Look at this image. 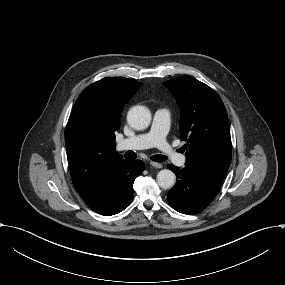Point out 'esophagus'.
Wrapping results in <instances>:
<instances>
[{
	"label": "esophagus",
	"mask_w": 285,
	"mask_h": 285,
	"mask_svg": "<svg viewBox=\"0 0 285 285\" xmlns=\"http://www.w3.org/2000/svg\"><path fill=\"white\" fill-rule=\"evenodd\" d=\"M150 165L155 167V168H158V169H161L163 167V165L161 163H157V162H153V161L150 162Z\"/></svg>",
	"instance_id": "34e87169"
}]
</instances>
